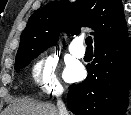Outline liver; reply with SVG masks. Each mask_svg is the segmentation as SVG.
I'll list each match as a JSON object with an SVG mask.
<instances>
[{"label":"liver","instance_id":"liver-1","mask_svg":"<svg viewBox=\"0 0 131 115\" xmlns=\"http://www.w3.org/2000/svg\"><path fill=\"white\" fill-rule=\"evenodd\" d=\"M3 115H60L52 104L37 103L30 99L15 100L3 112Z\"/></svg>","mask_w":131,"mask_h":115}]
</instances>
